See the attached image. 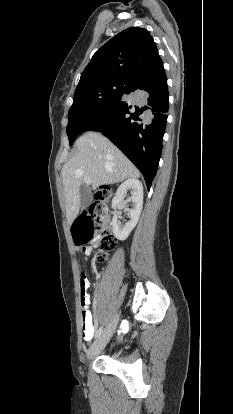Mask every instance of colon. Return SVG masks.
<instances>
[{
  "label": "colon",
  "instance_id": "colon-1",
  "mask_svg": "<svg viewBox=\"0 0 233 414\" xmlns=\"http://www.w3.org/2000/svg\"><path fill=\"white\" fill-rule=\"evenodd\" d=\"M112 196V190L109 186L99 187L94 193V201L88 210L76 218L73 224V239L76 245L84 246L95 241V237L99 231L105 227L107 220L106 203ZM112 239L109 235H105L99 243L101 251L107 250L112 245ZM101 258L105 257L104 253L99 254ZM81 281V278H80Z\"/></svg>",
  "mask_w": 233,
  "mask_h": 414
}]
</instances>
